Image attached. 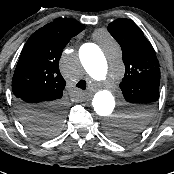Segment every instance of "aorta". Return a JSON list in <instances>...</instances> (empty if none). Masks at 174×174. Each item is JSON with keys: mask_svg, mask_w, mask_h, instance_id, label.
Returning <instances> with one entry per match:
<instances>
[{"mask_svg": "<svg viewBox=\"0 0 174 174\" xmlns=\"http://www.w3.org/2000/svg\"><path fill=\"white\" fill-rule=\"evenodd\" d=\"M106 42L105 54L97 45L92 43H86L79 49V57L84 69L97 82H101L106 78L107 60L114 64L121 59V51L118 45L108 36ZM92 105L101 124L108 132H112L114 128L120 126L122 116L113 114L115 101L110 91L106 89L99 90L93 98Z\"/></svg>", "mask_w": 174, "mask_h": 174, "instance_id": "aorta-1", "label": "aorta"}]
</instances>
